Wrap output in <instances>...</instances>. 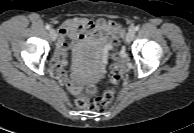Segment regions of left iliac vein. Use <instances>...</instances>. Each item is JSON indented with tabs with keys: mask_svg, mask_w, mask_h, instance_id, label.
<instances>
[{
	"mask_svg": "<svg viewBox=\"0 0 194 133\" xmlns=\"http://www.w3.org/2000/svg\"><path fill=\"white\" fill-rule=\"evenodd\" d=\"M134 36H135V30L130 29L126 35V42L130 43L134 39Z\"/></svg>",
	"mask_w": 194,
	"mask_h": 133,
	"instance_id": "4c4485c4",
	"label": "left iliac vein"
}]
</instances>
